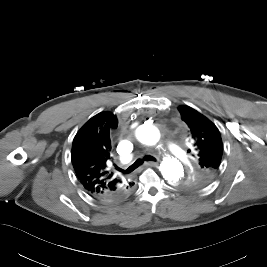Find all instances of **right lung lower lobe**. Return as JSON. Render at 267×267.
Segmentation results:
<instances>
[{"instance_id":"1","label":"right lung lower lobe","mask_w":267,"mask_h":267,"mask_svg":"<svg viewBox=\"0 0 267 267\" xmlns=\"http://www.w3.org/2000/svg\"><path fill=\"white\" fill-rule=\"evenodd\" d=\"M134 185V182H128L125 184L119 191L118 193L106 197H96L99 200H102L104 202H118L124 198H126L131 192H132V187ZM91 195V194H90ZM94 196V195H92ZM95 197V196H94Z\"/></svg>"}]
</instances>
